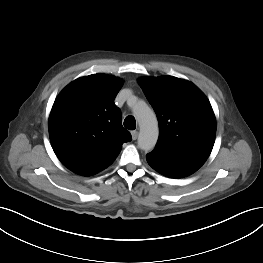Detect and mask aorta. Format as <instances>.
Listing matches in <instances>:
<instances>
[{
    "mask_svg": "<svg viewBox=\"0 0 263 263\" xmlns=\"http://www.w3.org/2000/svg\"><path fill=\"white\" fill-rule=\"evenodd\" d=\"M133 113L140 127L138 147L145 152H149L154 149L159 136V126L156 114L142 101L135 103L133 106Z\"/></svg>",
    "mask_w": 263,
    "mask_h": 263,
    "instance_id": "1",
    "label": "aorta"
}]
</instances>
